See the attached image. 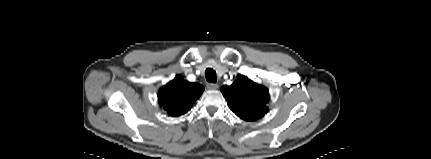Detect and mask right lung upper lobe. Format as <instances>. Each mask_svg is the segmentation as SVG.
I'll return each mask as SVG.
<instances>
[{
	"instance_id": "cb5924a9",
	"label": "right lung upper lobe",
	"mask_w": 431,
	"mask_h": 159,
	"mask_svg": "<svg viewBox=\"0 0 431 159\" xmlns=\"http://www.w3.org/2000/svg\"><path fill=\"white\" fill-rule=\"evenodd\" d=\"M203 90L204 87L199 83H190L178 75L160 89L158 101L169 115L179 116L191 109Z\"/></svg>"
}]
</instances>
